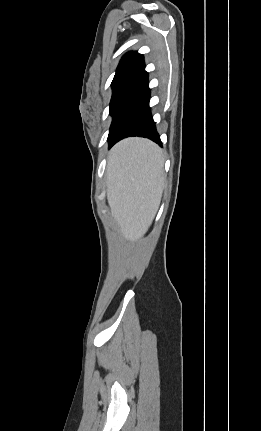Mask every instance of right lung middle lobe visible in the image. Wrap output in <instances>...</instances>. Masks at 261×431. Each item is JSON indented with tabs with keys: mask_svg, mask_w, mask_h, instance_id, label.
<instances>
[{
	"mask_svg": "<svg viewBox=\"0 0 261 431\" xmlns=\"http://www.w3.org/2000/svg\"><path fill=\"white\" fill-rule=\"evenodd\" d=\"M139 73H130L126 74L124 76H121L117 79H114L112 81V89L113 94L110 102V109L109 113L114 117L117 107L120 104V101L124 97V95L127 93L133 82L137 79L139 76ZM110 136V134H109ZM109 139V137H108Z\"/></svg>",
	"mask_w": 261,
	"mask_h": 431,
	"instance_id": "obj_1",
	"label": "right lung middle lobe"
}]
</instances>
